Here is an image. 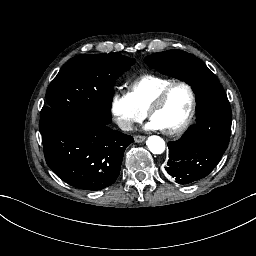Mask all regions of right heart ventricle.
Instances as JSON below:
<instances>
[{
	"mask_svg": "<svg viewBox=\"0 0 256 256\" xmlns=\"http://www.w3.org/2000/svg\"><path fill=\"white\" fill-rule=\"evenodd\" d=\"M170 84L171 80H156L152 85L135 89L131 97L139 102L140 109L145 110Z\"/></svg>",
	"mask_w": 256,
	"mask_h": 256,
	"instance_id": "obj_1",
	"label": "right heart ventricle"
}]
</instances>
